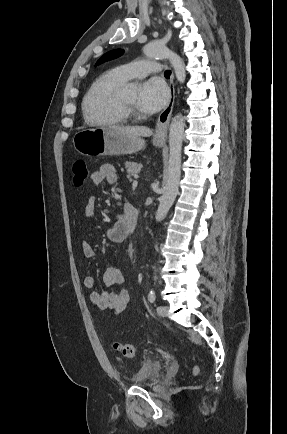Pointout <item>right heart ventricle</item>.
<instances>
[{
	"label": "right heart ventricle",
	"instance_id": "right-heart-ventricle-1",
	"mask_svg": "<svg viewBox=\"0 0 287 434\" xmlns=\"http://www.w3.org/2000/svg\"><path fill=\"white\" fill-rule=\"evenodd\" d=\"M126 82L117 68L99 75L89 86L82 100V113L91 125L122 124L127 118L118 109L115 97Z\"/></svg>",
	"mask_w": 287,
	"mask_h": 434
}]
</instances>
